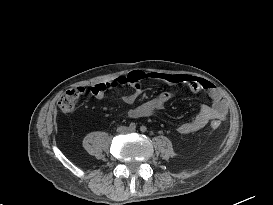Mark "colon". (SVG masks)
Returning a JSON list of instances; mask_svg holds the SVG:
<instances>
[{
	"label": "colon",
	"mask_w": 273,
	"mask_h": 205,
	"mask_svg": "<svg viewBox=\"0 0 273 205\" xmlns=\"http://www.w3.org/2000/svg\"><path fill=\"white\" fill-rule=\"evenodd\" d=\"M85 94L84 89L74 88L67 90L61 94L58 100V106L60 110L64 113H71L75 110L79 100ZM220 127L219 121H212L211 128L217 130Z\"/></svg>",
	"instance_id": "colon-1"
}]
</instances>
